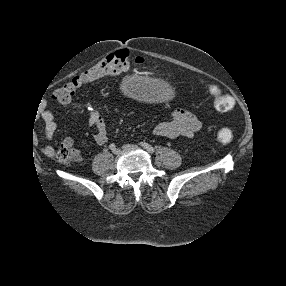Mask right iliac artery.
<instances>
[{
	"instance_id": "obj_1",
	"label": "right iliac artery",
	"mask_w": 286,
	"mask_h": 286,
	"mask_svg": "<svg viewBox=\"0 0 286 286\" xmlns=\"http://www.w3.org/2000/svg\"><path fill=\"white\" fill-rule=\"evenodd\" d=\"M115 144L114 143H111L110 145H109V148L111 149V150H114L115 149Z\"/></svg>"
}]
</instances>
